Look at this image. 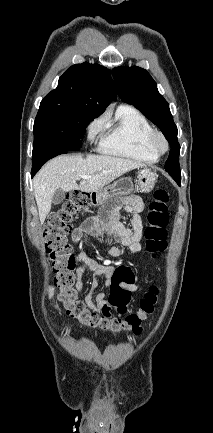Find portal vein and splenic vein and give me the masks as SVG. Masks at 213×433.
Here are the masks:
<instances>
[{
	"instance_id": "obj_1",
	"label": "portal vein and splenic vein",
	"mask_w": 213,
	"mask_h": 433,
	"mask_svg": "<svg viewBox=\"0 0 213 433\" xmlns=\"http://www.w3.org/2000/svg\"><path fill=\"white\" fill-rule=\"evenodd\" d=\"M80 177H81L82 179H89V178H91L90 175H81Z\"/></svg>"
}]
</instances>
